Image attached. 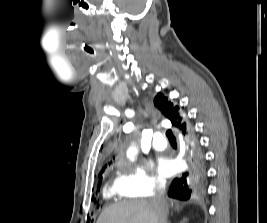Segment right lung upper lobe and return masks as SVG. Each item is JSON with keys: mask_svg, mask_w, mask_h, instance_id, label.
<instances>
[{"mask_svg": "<svg viewBox=\"0 0 267 223\" xmlns=\"http://www.w3.org/2000/svg\"><path fill=\"white\" fill-rule=\"evenodd\" d=\"M155 106L162 112V114L171 121L172 126L179 132H182L188 125L186 116L178 106H175L162 93H158L154 98Z\"/></svg>", "mask_w": 267, "mask_h": 223, "instance_id": "1", "label": "right lung upper lobe"}]
</instances>
